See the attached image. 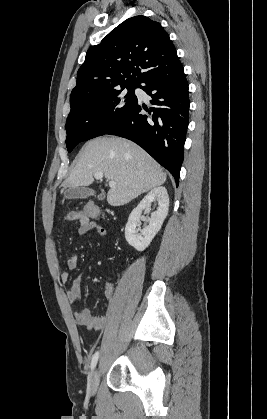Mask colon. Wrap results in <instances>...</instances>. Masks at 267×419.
<instances>
[{"label":"colon","mask_w":267,"mask_h":419,"mask_svg":"<svg viewBox=\"0 0 267 419\" xmlns=\"http://www.w3.org/2000/svg\"><path fill=\"white\" fill-rule=\"evenodd\" d=\"M80 213L87 219H98L104 215L102 209L94 203L86 204Z\"/></svg>","instance_id":"colon-1"}]
</instances>
